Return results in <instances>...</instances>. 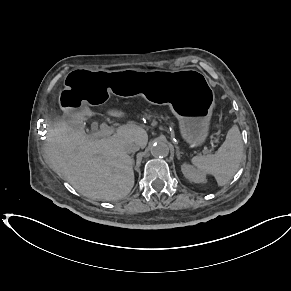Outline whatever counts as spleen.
Segmentation results:
<instances>
[{
	"label": "spleen",
	"instance_id": "obj_1",
	"mask_svg": "<svg viewBox=\"0 0 291 291\" xmlns=\"http://www.w3.org/2000/svg\"><path fill=\"white\" fill-rule=\"evenodd\" d=\"M243 156L242 137L238 127L234 125L215 154L194 156L191 162L199 171L213 175L219 186H224L237 172Z\"/></svg>",
	"mask_w": 291,
	"mask_h": 291
}]
</instances>
